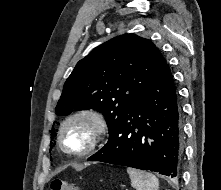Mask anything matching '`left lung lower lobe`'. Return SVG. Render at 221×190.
Returning <instances> with one entry per match:
<instances>
[{
    "instance_id": "left-lung-lower-lobe-1",
    "label": "left lung lower lobe",
    "mask_w": 221,
    "mask_h": 190,
    "mask_svg": "<svg viewBox=\"0 0 221 190\" xmlns=\"http://www.w3.org/2000/svg\"><path fill=\"white\" fill-rule=\"evenodd\" d=\"M180 105L169 65L110 130L107 144L88 161H101L176 178L182 159Z\"/></svg>"
}]
</instances>
